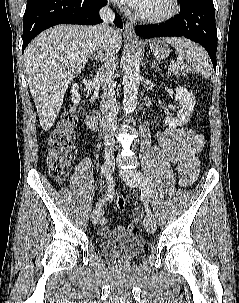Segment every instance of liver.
I'll return each instance as SVG.
<instances>
[{
	"label": "liver",
	"mask_w": 239,
	"mask_h": 303,
	"mask_svg": "<svg viewBox=\"0 0 239 303\" xmlns=\"http://www.w3.org/2000/svg\"><path fill=\"white\" fill-rule=\"evenodd\" d=\"M121 45V33L114 30L110 48L116 53ZM96 46V27L83 25H57L27 46L24 67L43 130L53 126L68 86L84 69Z\"/></svg>",
	"instance_id": "liver-1"
}]
</instances>
